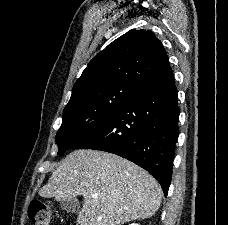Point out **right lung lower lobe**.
<instances>
[{
  "label": "right lung lower lobe",
  "instance_id": "98d812e1",
  "mask_svg": "<svg viewBox=\"0 0 228 225\" xmlns=\"http://www.w3.org/2000/svg\"><path fill=\"white\" fill-rule=\"evenodd\" d=\"M177 100L168 64L72 148L102 150L134 162L156 178L167 196L179 134Z\"/></svg>",
  "mask_w": 228,
  "mask_h": 225
}]
</instances>
